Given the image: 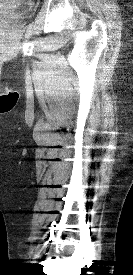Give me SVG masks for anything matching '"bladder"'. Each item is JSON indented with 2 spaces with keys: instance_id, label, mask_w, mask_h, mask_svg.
<instances>
[{
  "instance_id": "31cf9c89",
  "label": "bladder",
  "mask_w": 133,
  "mask_h": 275,
  "mask_svg": "<svg viewBox=\"0 0 133 275\" xmlns=\"http://www.w3.org/2000/svg\"><path fill=\"white\" fill-rule=\"evenodd\" d=\"M4 1H10V2H12V0H0V3L4 2ZM24 17H25V15L23 13H16V14H14L12 16H9L8 19L10 21H19V20H22Z\"/></svg>"
}]
</instances>
